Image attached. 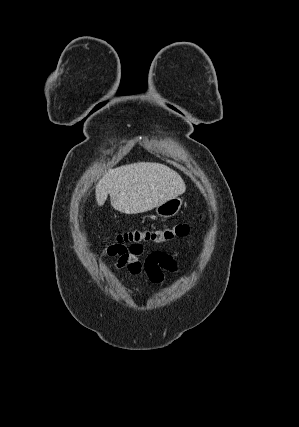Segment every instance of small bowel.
<instances>
[{
	"label": "small bowel",
	"mask_w": 299,
	"mask_h": 427,
	"mask_svg": "<svg viewBox=\"0 0 299 427\" xmlns=\"http://www.w3.org/2000/svg\"><path fill=\"white\" fill-rule=\"evenodd\" d=\"M144 248L140 244H134L125 251L115 254L117 260L116 269H127L133 275L146 274L155 284L164 279V272L174 273L178 265L173 257L166 252H153L144 261L140 260Z\"/></svg>",
	"instance_id": "1"
}]
</instances>
